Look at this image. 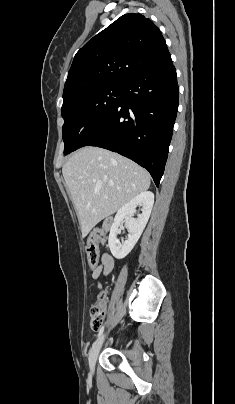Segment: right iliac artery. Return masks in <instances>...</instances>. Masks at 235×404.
Instances as JSON below:
<instances>
[{
	"label": "right iliac artery",
	"mask_w": 235,
	"mask_h": 404,
	"mask_svg": "<svg viewBox=\"0 0 235 404\" xmlns=\"http://www.w3.org/2000/svg\"><path fill=\"white\" fill-rule=\"evenodd\" d=\"M103 331H104V326L99 330V333H98V335H97V338H98V339H99L100 336L102 335Z\"/></svg>",
	"instance_id": "obj_1"
}]
</instances>
